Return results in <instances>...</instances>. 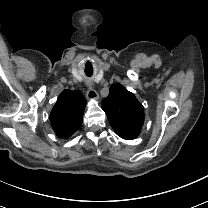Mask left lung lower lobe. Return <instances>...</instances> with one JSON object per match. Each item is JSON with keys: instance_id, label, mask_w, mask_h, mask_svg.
<instances>
[{"instance_id": "obj_1", "label": "left lung lower lobe", "mask_w": 208, "mask_h": 208, "mask_svg": "<svg viewBox=\"0 0 208 208\" xmlns=\"http://www.w3.org/2000/svg\"><path fill=\"white\" fill-rule=\"evenodd\" d=\"M117 135L122 137L123 139H135L138 135L136 134H131V133H122V132H116Z\"/></svg>"}]
</instances>
